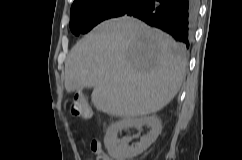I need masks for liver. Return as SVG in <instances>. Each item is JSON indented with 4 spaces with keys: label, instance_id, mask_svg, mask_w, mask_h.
<instances>
[{
    "label": "liver",
    "instance_id": "6515ba94",
    "mask_svg": "<svg viewBox=\"0 0 242 160\" xmlns=\"http://www.w3.org/2000/svg\"><path fill=\"white\" fill-rule=\"evenodd\" d=\"M184 45L133 17L100 23L70 51L68 93L93 88L97 110L134 118L156 113L178 93L185 78Z\"/></svg>",
    "mask_w": 242,
    "mask_h": 160
}]
</instances>
